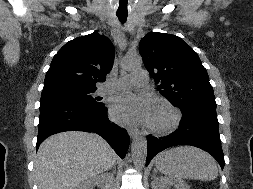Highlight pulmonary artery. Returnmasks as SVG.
<instances>
[{"mask_svg":"<svg viewBox=\"0 0 253 189\" xmlns=\"http://www.w3.org/2000/svg\"><path fill=\"white\" fill-rule=\"evenodd\" d=\"M131 83L138 84L140 86H146L148 83V76L144 72L134 73L130 76L121 77L116 82H106L98 91L99 95H105L111 92L113 89H124Z\"/></svg>","mask_w":253,"mask_h":189,"instance_id":"e3ab8cb5","label":"pulmonary artery"}]
</instances>
